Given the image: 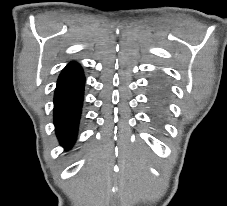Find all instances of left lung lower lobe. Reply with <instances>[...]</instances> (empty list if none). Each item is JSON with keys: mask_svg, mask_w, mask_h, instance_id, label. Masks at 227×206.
<instances>
[{"mask_svg": "<svg viewBox=\"0 0 227 206\" xmlns=\"http://www.w3.org/2000/svg\"><path fill=\"white\" fill-rule=\"evenodd\" d=\"M152 90V106L157 113L164 110V99L167 95L168 89L162 78H156L151 83Z\"/></svg>", "mask_w": 227, "mask_h": 206, "instance_id": "left-lung-lower-lobe-1", "label": "left lung lower lobe"}]
</instances>
